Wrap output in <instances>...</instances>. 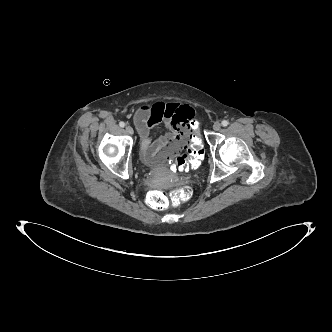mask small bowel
Returning a JSON list of instances; mask_svg holds the SVG:
<instances>
[{
  "label": "small bowel",
  "mask_w": 332,
  "mask_h": 332,
  "mask_svg": "<svg viewBox=\"0 0 332 332\" xmlns=\"http://www.w3.org/2000/svg\"><path fill=\"white\" fill-rule=\"evenodd\" d=\"M195 117V110L179 102L157 101L138 108L134 121L141 134V153L145 162L157 167L168 164L171 157L180 154L182 145L191 137L189 123ZM160 124L167 132L153 140V131Z\"/></svg>",
  "instance_id": "small-bowel-1"
}]
</instances>
